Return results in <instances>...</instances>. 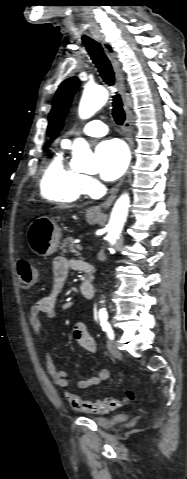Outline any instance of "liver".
<instances>
[{"label": "liver", "mask_w": 187, "mask_h": 479, "mask_svg": "<svg viewBox=\"0 0 187 479\" xmlns=\"http://www.w3.org/2000/svg\"><path fill=\"white\" fill-rule=\"evenodd\" d=\"M58 208H59V209H65V208H69V206H67V205H60Z\"/></svg>", "instance_id": "obj_1"}]
</instances>
